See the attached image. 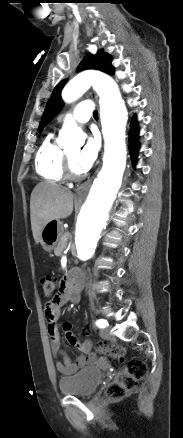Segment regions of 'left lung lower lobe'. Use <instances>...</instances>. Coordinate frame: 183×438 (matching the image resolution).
Returning a JSON list of instances; mask_svg holds the SVG:
<instances>
[{
  "mask_svg": "<svg viewBox=\"0 0 183 438\" xmlns=\"http://www.w3.org/2000/svg\"><path fill=\"white\" fill-rule=\"evenodd\" d=\"M137 139H138V127L136 126L135 116H134L133 122L131 125L130 134H129V143H130L131 157H132L133 163L136 162L137 152L139 149V144H138Z\"/></svg>",
  "mask_w": 183,
  "mask_h": 438,
  "instance_id": "0a47b994",
  "label": "left lung lower lobe"
}]
</instances>
